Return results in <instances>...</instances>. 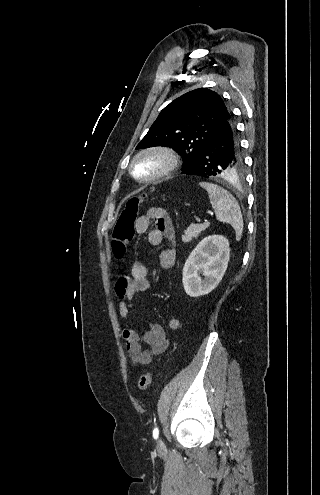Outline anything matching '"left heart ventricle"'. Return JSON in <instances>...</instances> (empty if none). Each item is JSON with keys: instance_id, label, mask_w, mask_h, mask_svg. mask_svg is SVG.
I'll list each match as a JSON object with an SVG mask.
<instances>
[{"instance_id": "obj_1", "label": "left heart ventricle", "mask_w": 320, "mask_h": 495, "mask_svg": "<svg viewBox=\"0 0 320 495\" xmlns=\"http://www.w3.org/2000/svg\"><path fill=\"white\" fill-rule=\"evenodd\" d=\"M160 166V162L157 159H144L137 163L136 173L139 175H149L155 172Z\"/></svg>"}]
</instances>
